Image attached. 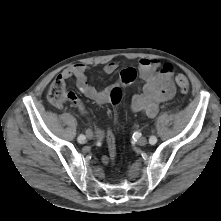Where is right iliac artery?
Masks as SVG:
<instances>
[{
  "label": "right iliac artery",
  "mask_w": 221,
  "mask_h": 221,
  "mask_svg": "<svg viewBox=\"0 0 221 221\" xmlns=\"http://www.w3.org/2000/svg\"><path fill=\"white\" fill-rule=\"evenodd\" d=\"M85 136L84 135H80L79 137H78V142L79 143H84L85 142Z\"/></svg>",
  "instance_id": "obj_1"
}]
</instances>
